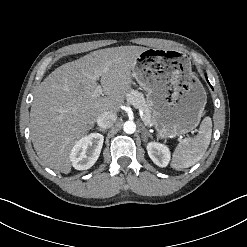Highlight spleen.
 Instances as JSON below:
<instances>
[{
	"mask_svg": "<svg viewBox=\"0 0 247 247\" xmlns=\"http://www.w3.org/2000/svg\"><path fill=\"white\" fill-rule=\"evenodd\" d=\"M212 134V121L205 117L200 125L198 134L194 138L183 139L175 148L171 167L182 170L196 164L205 154Z\"/></svg>",
	"mask_w": 247,
	"mask_h": 247,
	"instance_id": "3e777b00",
	"label": "spleen"
}]
</instances>
